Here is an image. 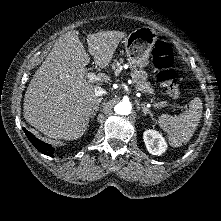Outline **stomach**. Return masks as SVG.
Masks as SVG:
<instances>
[{
    "label": "stomach",
    "instance_id": "stomach-1",
    "mask_svg": "<svg viewBox=\"0 0 221 221\" xmlns=\"http://www.w3.org/2000/svg\"><path fill=\"white\" fill-rule=\"evenodd\" d=\"M157 41V33L150 27L137 28L125 40L128 60L140 69L149 64L150 53Z\"/></svg>",
    "mask_w": 221,
    "mask_h": 221
}]
</instances>
